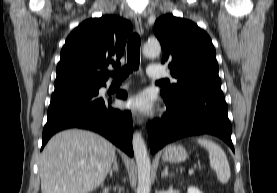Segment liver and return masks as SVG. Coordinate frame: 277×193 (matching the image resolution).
<instances>
[{
	"label": "liver",
	"mask_w": 277,
	"mask_h": 193,
	"mask_svg": "<svg viewBox=\"0 0 277 193\" xmlns=\"http://www.w3.org/2000/svg\"><path fill=\"white\" fill-rule=\"evenodd\" d=\"M114 158L115 146L99 134L62 131L41 154V193H89L103 183Z\"/></svg>",
	"instance_id": "obj_1"
}]
</instances>
